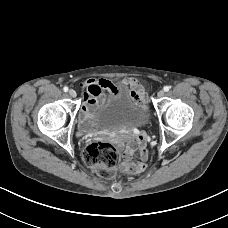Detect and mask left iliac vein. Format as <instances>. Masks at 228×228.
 I'll list each match as a JSON object with an SVG mask.
<instances>
[{
	"label": "left iliac vein",
	"instance_id": "left-iliac-vein-1",
	"mask_svg": "<svg viewBox=\"0 0 228 228\" xmlns=\"http://www.w3.org/2000/svg\"><path fill=\"white\" fill-rule=\"evenodd\" d=\"M165 92L163 90L158 91L157 96L158 97H163Z\"/></svg>",
	"mask_w": 228,
	"mask_h": 228
}]
</instances>
